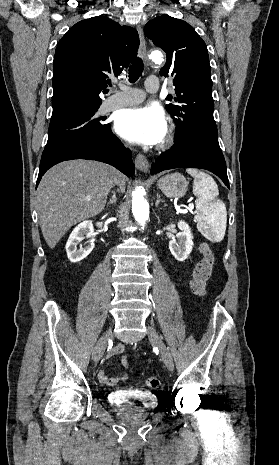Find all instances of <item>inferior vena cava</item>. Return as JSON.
I'll return each mask as SVG.
<instances>
[{
	"label": "inferior vena cava",
	"mask_w": 279,
	"mask_h": 465,
	"mask_svg": "<svg viewBox=\"0 0 279 465\" xmlns=\"http://www.w3.org/2000/svg\"><path fill=\"white\" fill-rule=\"evenodd\" d=\"M114 184H116V179H113V180L111 181V183H110V188H112Z\"/></svg>",
	"instance_id": "602c4592"
}]
</instances>
